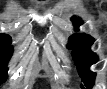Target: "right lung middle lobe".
I'll return each instance as SVG.
<instances>
[{
	"mask_svg": "<svg viewBox=\"0 0 107 89\" xmlns=\"http://www.w3.org/2000/svg\"><path fill=\"white\" fill-rule=\"evenodd\" d=\"M11 37L6 34H0V82H4L7 79L6 69L7 62L12 56L13 48L10 45Z\"/></svg>",
	"mask_w": 107,
	"mask_h": 89,
	"instance_id": "dd1d6c3e",
	"label": "right lung middle lobe"
}]
</instances>
